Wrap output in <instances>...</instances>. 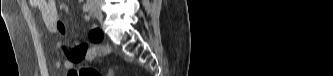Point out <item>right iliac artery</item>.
<instances>
[{"mask_svg":"<svg viewBox=\"0 0 333 76\" xmlns=\"http://www.w3.org/2000/svg\"><path fill=\"white\" fill-rule=\"evenodd\" d=\"M90 9H91V2H87V3L83 6V10H84L85 12H88V11H90Z\"/></svg>","mask_w":333,"mask_h":76,"instance_id":"82829eb1","label":"right iliac artery"}]
</instances>
